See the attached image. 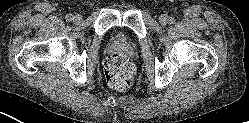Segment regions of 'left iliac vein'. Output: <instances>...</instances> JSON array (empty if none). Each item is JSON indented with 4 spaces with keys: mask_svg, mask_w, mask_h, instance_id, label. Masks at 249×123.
<instances>
[{
    "mask_svg": "<svg viewBox=\"0 0 249 123\" xmlns=\"http://www.w3.org/2000/svg\"><path fill=\"white\" fill-rule=\"evenodd\" d=\"M168 21H169V17L165 14H163L159 17V22L163 26L166 25L168 23Z\"/></svg>",
    "mask_w": 249,
    "mask_h": 123,
    "instance_id": "left-iliac-vein-1",
    "label": "left iliac vein"
}]
</instances>
